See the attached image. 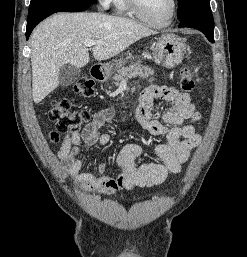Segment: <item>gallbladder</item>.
Listing matches in <instances>:
<instances>
[{
    "label": "gallbladder",
    "instance_id": "1",
    "mask_svg": "<svg viewBox=\"0 0 247 257\" xmlns=\"http://www.w3.org/2000/svg\"><path fill=\"white\" fill-rule=\"evenodd\" d=\"M81 70L70 64H65L59 71V84L63 87L69 86L76 82L80 77Z\"/></svg>",
    "mask_w": 247,
    "mask_h": 257
}]
</instances>
